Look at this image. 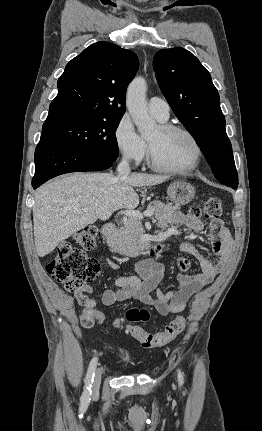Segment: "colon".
<instances>
[{
	"instance_id": "1",
	"label": "colon",
	"mask_w": 262,
	"mask_h": 431,
	"mask_svg": "<svg viewBox=\"0 0 262 431\" xmlns=\"http://www.w3.org/2000/svg\"><path fill=\"white\" fill-rule=\"evenodd\" d=\"M197 207H192L191 212H197ZM223 211L221 200L217 196L209 197L203 212L208 219H218ZM95 227H87L77 232L73 237V245L70 241L64 242L58 249L56 256L46 266L47 272L58 283L62 284L69 292H76L85 288L99 274V263L83 252L98 247ZM149 313L146 309H131L126 313V330L135 337L143 347L153 348L162 346L174 340L183 332L186 319L182 316L170 322L163 331L150 333L137 324L139 321H147ZM84 327H92L97 319L89 313H83L80 317ZM120 320L114 322L115 327L122 326Z\"/></svg>"
}]
</instances>
